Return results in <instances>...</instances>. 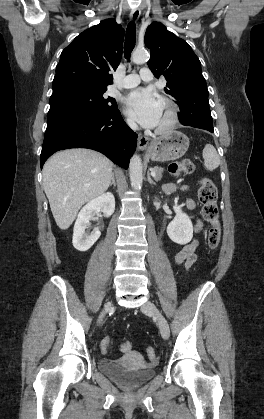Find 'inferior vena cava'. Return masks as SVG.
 I'll return each instance as SVG.
<instances>
[{
	"instance_id": "1",
	"label": "inferior vena cava",
	"mask_w": 264,
	"mask_h": 419,
	"mask_svg": "<svg viewBox=\"0 0 264 419\" xmlns=\"http://www.w3.org/2000/svg\"><path fill=\"white\" fill-rule=\"evenodd\" d=\"M127 123L132 130H138V125L134 121L128 120Z\"/></svg>"
}]
</instances>
